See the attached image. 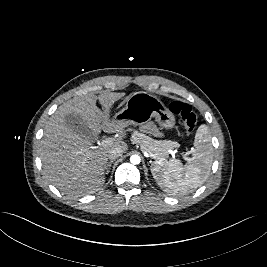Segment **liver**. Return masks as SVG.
I'll return each instance as SVG.
<instances>
[{"label":"liver","instance_id":"obj_1","mask_svg":"<svg viewBox=\"0 0 267 267\" xmlns=\"http://www.w3.org/2000/svg\"><path fill=\"white\" fill-rule=\"evenodd\" d=\"M125 93L104 92L74 97L63 103L50 117L40 142V158L46 178L60 191L69 196L90 194L98 191L105 182L108 151L111 148L128 150L124 141L108 145L91 146V138L82 137L66 123L69 114L78 115L97 136L101 131L126 136L127 127L110 118L113 104ZM99 100L104 114L96 106Z\"/></svg>","mask_w":267,"mask_h":267}]
</instances>
